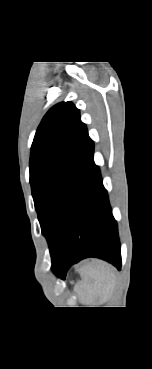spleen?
I'll use <instances>...</instances> for the list:
<instances>
[{"instance_id":"obj_1","label":"spleen","mask_w":152,"mask_h":369,"mask_svg":"<svg viewBox=\"0 0 152 369\" xmlns=\"http://www.w3.org/2000/svg\"><path fill=\"white\" fill-rule=\"evenodd\" d=\"M81 276L77 290L86 298L87 304L104 302L115 284L113 267L98 260L88 264Z\"/></svg>"}]
</instances>
